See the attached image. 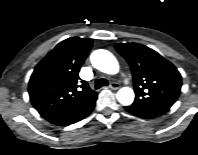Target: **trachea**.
I'll use <instances>...</instances> for the list:
<instances>
[{"label":"trachea","mask_w":198,"mask_h":155,"mask_svg":"<svg viewBox=\"0 0 198 155\" xmlns=\"http://www.w3.org/2000/svg\"><path fill=\"white\" fill-rule=\"evenodd\" d=\"M108 85V81L104 78H100V79H97L95 81V89H99L103 86H107Z\"/></svg>","instance_id":"obj_1"}]
</instances>
